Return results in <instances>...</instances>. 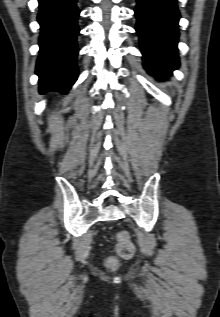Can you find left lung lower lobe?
<instances>
[{
  "instance_id": "left-lung-lower-lobe-1",
  "label": "left lung lower lobe",
  "mask_w": 220,
  "mask_h": 317,
  "mask_svg": "<svg viewBox=\"0 0 220 317\" xmlns=\"http://www.w3.org/2000/svg\"><path fill=\"white\" fill-rule=\"evenodd\" d=\"M135 15L144 67L151 75L166 79L179 67L176 0H137Z\"/></svg>"
}]
</instances>
